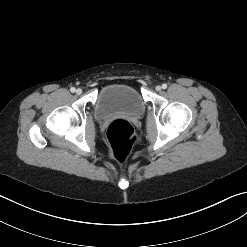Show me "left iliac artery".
Returning a JSON list of instances; mask_svg holds the SVG:
<instances>
[{"label":"left iliac artery","mask_w":247,"mask_h":247,"mask_svg":"<svg viewBox=\"0 0 247 247\" xmlns=\"http://www.w3.org/2000/svg\"><path fill=\"white\" fill-rule=\"evenodd\" d=\"M162 88H163V89H166V88H167V84H165V83L162 84Z\"/></svg>","instance_id":"44dca946"}]
</instances>
